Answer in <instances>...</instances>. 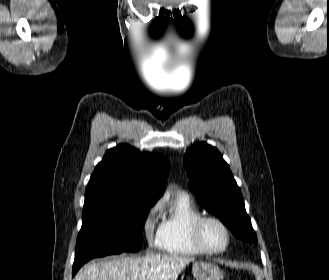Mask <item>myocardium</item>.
Listing matches in <instances>:
<instances>
[{
  "instance_id": "obj_1",
  "label": "myocardium",
  "mask_w": 329,
  "mask_h": 280,
  "mask_svg": "<svg viewBox=\"0 0 329 280\" xmlns=\"http://www.w3.org/2000/svg\"><path fill=\"white\" fill-rule=\"evenodd\" d=\"M208 222L218 224L226 234V243L220 249H210L203 242L202 230L204 225ZM191 239L197 250L201 253L207 255H220L229 248L232 240V234L227 224L221 218L214 215H201L193 222L191 226Z\"/></svg>"
}]
</instances>
